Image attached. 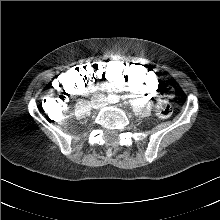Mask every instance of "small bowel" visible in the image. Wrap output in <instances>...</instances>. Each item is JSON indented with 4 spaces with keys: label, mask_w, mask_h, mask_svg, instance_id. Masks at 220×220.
<instances>
[{
    "label": "small bowel",
    "mask_w": 220,
    "mask_h": 220,
    "mask_svg": "<svg viewBox=\"0 0 220 220\" xmlns=\"http://www.w3.org/2000/svg\"><path fill=\"white\" fill-rule=\"evenodd\" d=\"M108 62V61H107ZM123 62V61H122ZM107 91H120V90H126L127 92L131 93V94H144V95H150L152 96L153 94L156 93V91L158 90V88L154 91H147L145 89H139L136 86H133L131 84H127L125 82H121V83H113L110 80L106 81L103 85H102Z\"/></svg>",
    "instance_id": "1"
}]
</instances>
